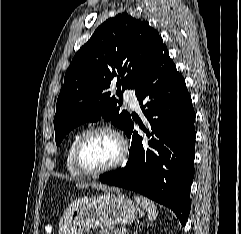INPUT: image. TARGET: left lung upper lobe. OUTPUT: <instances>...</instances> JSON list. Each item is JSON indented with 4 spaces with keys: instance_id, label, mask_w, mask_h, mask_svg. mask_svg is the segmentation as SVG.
Wrapping results in <instances>:
<instances>
[{
    "instance_id": "1",
    "label": "left lung upper lobe",
    "mask_w": 241,
    "mask_h": 234,
    "mask_svg": "<svg viewBox=\"0 0 241 234\" xmlns=\"http://www.w3.org/2000/svg\"><path fill=\"white\" fill-rule=\"evenodd\" d=\"M166 48L147 21L127 13L106 20L74 56L64 77L54 117L57 146L65 135L85 122L104 118L124 130L130 119L106 92L117 79V95L134 88L160 50Z\"/></svg>"
}]
</instances>
